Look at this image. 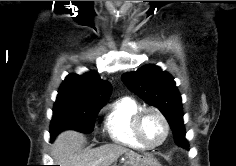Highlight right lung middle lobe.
I'll list each match as a JSON object with an SVG mask.
<instances>
[{"label": "right lung middle lobe", "instance_id": "right-lung-middle-lobe-1", "mask_svg": "<svg viewBox=\"0 0 236 166\" xmlns=\"http://www.w3.org/2000/svg\"><path fill=\"white\" fill-rule=\"evenodd\" d=\"M102 107L74 102L55 103L50 124L51 139L68 129L91 133L94 129L95 117Z\"/></svg>", "mask_w": 236, "mask_h": 166}]
</instances>
